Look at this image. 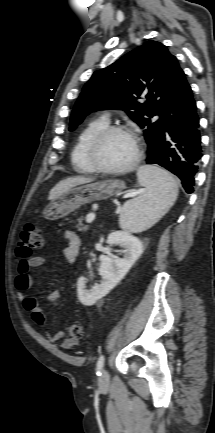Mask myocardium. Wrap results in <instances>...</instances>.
<instances>
[{"label": "myocardium", "mask_w": 215, "mask_h": 433, "mask_svg": "<svg viewBox=\"0 0 215 433\" xmlns=\"http://www.w3.org/2000/svg\"><path fill=\"white\" fill-rule=\"evenodd\" d=\"M113 133H122L130 136L134 140L136 145L135 154L132 160L127 165L120 168L104 167L97 160V150L99 145L106 137ZM142 154L143 144L139 136L132 129L122 125H111L103 128L92 138L87 149V158L92 168L97 172L111 175H121L135 169L141 161Z\"/></svg>", "instance_id": "1"}]
</instances>
